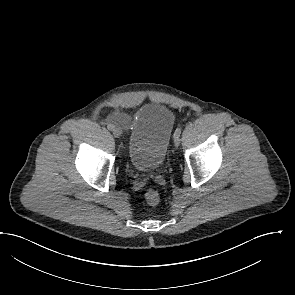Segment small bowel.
<instances>
[{"mask_svg": "<svg viewBox=\"0 0 295 295\" xmlns=\"http://www.w3.org/2000/svg\"><path fill=\"white\" fill-rule=\"evenodd\" d=\"M114 121L122 126H127V124H128V119L124 115L115 116Z\"/></svg>", "mask_w": 295, "mask_h": 295, "instance_id": "small-bowel-1", "label": "small bowel"}]
</instances>
